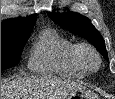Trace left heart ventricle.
Here are the masks:
<instances>
[{
    "label": "left heart ventricle",
    "instance_id": "obj_1",
    "mask_svg": "<svg viewBox=\"0 0 115 99\" xmlns=\"http://www.w3.org/2000/svg\"><path fill=\"white\" fill-rule=\"evenodd\" d=\"M87 61L91 66H95L96 64V60L91 54L87 55Z\"/></svg>",
    "mask_w": 115,
    "mask_h": 99
}]
</instances>
